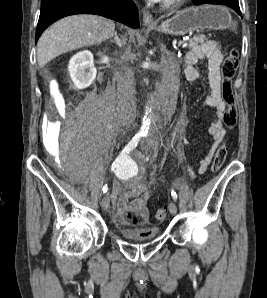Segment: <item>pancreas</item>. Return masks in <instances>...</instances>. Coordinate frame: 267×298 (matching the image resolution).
Here are the masks:
<instances>
[{
  "instance_id": "1",
  "label": "pancreas",
  "mask_w": 267,
  "mask_h": 298,
  "mask_svg": "<svg viewBox=\"0 0 267 298\" xmlns=\"http://www.w3.org/2000/svg\"><path fill=\"white\" fill-rule=\"evenodd\" d=\"M204 40H206V36L205 35L194 36V37H192L189 40L188 48L189 49H192V48L198 46L200 43L204 42Z\"/></svg>"
}]
</instances>
